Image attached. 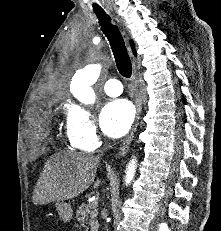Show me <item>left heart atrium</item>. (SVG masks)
<instances>
[{"label":"left heart atrium","instance_id":"obj_1","mask_svg":"<svg viewBox=\"0 0 221 231\" xmlns=\"http://www.w3.org/2000/svg\"><path fill=\"white\" fill-rule=\"evenodd\" d=\"M134 117L132 105L123 99L109 102L100 115L102 131L109 137L119 138L129 130Z\"/></svg>","mask_w":221,"mask_h":231}]
</instances>
